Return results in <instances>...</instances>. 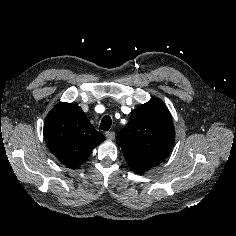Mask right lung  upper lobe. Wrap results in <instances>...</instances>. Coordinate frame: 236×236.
<instances>
[{
  "mask_svg": "<svg viewBox=\"0 0 236 236\" xmlns=\"http://www.w3.org/2000/svg\"><path fill=\"white\" fill-rule=\"evenodd\" d=\"M44 137L48 149L72 169L83 164L93 148L104 141L82 109L72 103H59L48 113Z\"/></svg>",
  "mask_w": 236,
  "mask_h": 236,
  "instance_id": "cb5924a9",
  "label": "right lung upper lobe"
}]
</instances>
